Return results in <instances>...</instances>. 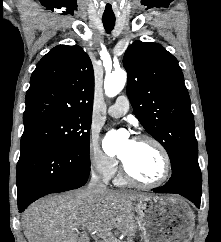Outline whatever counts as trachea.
Here are the masks:
<instances>
[{
	"instance_id": "1",
	"label": "trachea",
	"mask_w": 221,
	"mask_h": 242,
	"mask_svg": "<svg viewBox=\"0 0 221 242\" xmlns=\"http://www.w3.org/2000/svg\"><path fill=\"white\" fill-rule=\"evenodd\" d=\"M102 22H103L106 32L110 33L115 26V19L114 18H108V19L103 18Z\"/></svg>"
}]
</instances>
